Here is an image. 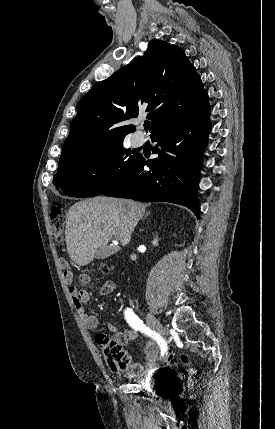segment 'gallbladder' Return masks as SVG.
Returning <instances> with one entry per match:
<instances>
[{"mask_svg": "<svg viewBox=\"0 0 275 429\" xmlns=\"http://www.w3.org/2000/svg\"><path fill=\"white\" fill-rule=\"evenodd\" d=\"M115 249L113 247H102L99 248L95 254L96 259H105L111 256L114 253Z\"/></svg>", "mask_w": 275, "mask_h": 429, "instance_id": "bac80fb5", "label": "gallbladder"}]
</instances>
